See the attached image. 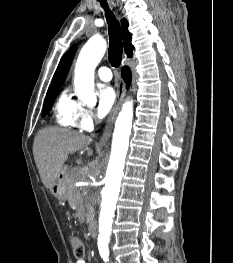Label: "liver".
I'll use <instances>...</instances> for the list:
<instances>
[{"label":"liver","instance_id":"6515ba94","mask_svg":"<svg viewBox=\"0 0 233 263\" xmlns=\"http://www.w3.org/2000/svg\"><path fill=\"white\" fill-rule=\"evenodd\" d=\"M91 138L63 128H45L38 132L33 144V154L41 181L51 189L62 173L69 154L83 149ZM92 150L88 151V155Z\"/></svg>","mask_w":233,"mask_h":263}]
</instances>
